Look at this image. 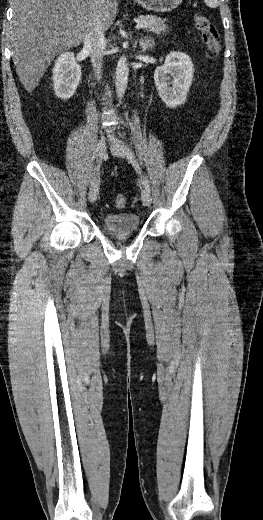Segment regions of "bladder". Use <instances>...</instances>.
Masks as SVG:
<instances>
[{
	"label": "bladder",
	"mask_w": 263,
	"mask_h": 520,
	"mask_svg": "<svg viewBox=\"0 0 263 520\" xmlns=\"http://www.w3.org/2000/svg\"><path fill=\"white\" fill-rule=\"evenodd\" d=\"M103 228L111 233L134 232L140 229V216L136 213L106 214L102 218Z\"/></svg>",
	"instance_id": "1"
}]
</instances>
